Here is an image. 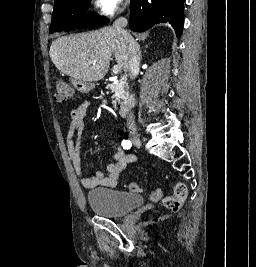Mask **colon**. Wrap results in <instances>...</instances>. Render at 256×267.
<instances>
[{"instance_id":"colon-1","label":"colon","mask_w":256,"mask_h":267,"mask_svg":"<svg viewBox=\"0 0 256 267\" xmlns=\"http://www.w3.org/2000/svg\"><path fill=\"white\" fill-rule=\"evenodd\" d=\"M55 95L60 101L72 100L75 96L73 85L66 81H58L56 83ZM127 189L131 193L139 194L142 187L137 182H131L127 185ZM157 195H160V189L154 188L151 197L154 200H158V197L160 196ZM187 195L188 190L186 184L182 181H177L173 186V193L164 199V204L171 212H177L181 208L184 200L187 198Z\"/></svg>"}]
</instances>
